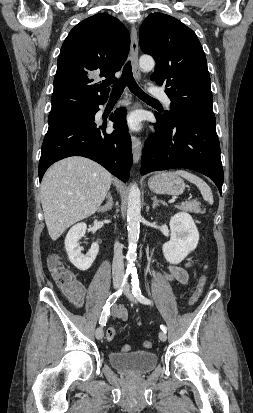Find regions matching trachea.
Returning a JSON list of instances; mask_svg holds the SVG:
<instances>
[{
	"instance_id": "3493384b",
	"label": "trachea",
	"mask_w": 253,
	"mask_h": 413,
	"mask_svg": "<svg viewBox=\"0 0 253 413\" xmlns=\"http://www.w3.org/2000/svg\"><path fill=\"white\" fill-rule=\"evenodd\" d=\"M126 86H128L130 91L134 93L140 99L144 101H149V102H158L156 99L146 94L138 86L132 74V67H131L130 61H128L126 65L124 66L121 78L118 80L116 84L113 85L111 98H119Z\"/></svg>"
}]
</instances>
